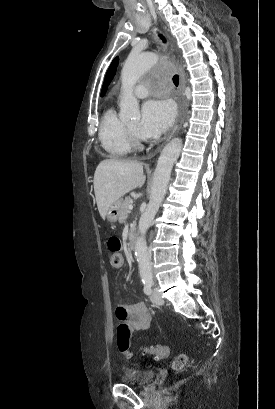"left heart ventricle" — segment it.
Masks as SVG:
<instances>
[{
    "instance_id": "left-heart-ventricle-1",
    "label": "left heart ventricle",
    "mask_w": 275,
    "mask_h": 409,
    "mask_svg": "<svg viewBox=\"0 0 275 409\" xmlns=\"http://www.w3.org/2000/svg\"><path fill=\"white\" fill-rule=\"evenodd\" d=\"M139 120H137V121H134V122H132V123H130V124H127L132 130H134L136 133H138L139 134V131H138V129H139ZM140 135V134H139ZM141 136V135H140ZM142 137V136H141ZM142 138H144V137H142Z\"/></svg>"
}]
</instances>
